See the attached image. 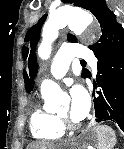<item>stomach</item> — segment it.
Wrapping results in <instances>:
<instances>
[{
    "mask_svg": "<svg viewBox=\"0 0 124 149\" xmlns=\"http://www.w3.org/2000/svg\"><path fill=\"white\" fill-rule=\"evenodd\" d=\"M97 142V134L95 128L83 131L76 139L72 149H85V147L94 145Z\"/></svg>",
    "mask_w": 124,
    "mask_h": 149,
    "instance_id": "0dacf381",
    "label": "stomach"
}]
</instances>
